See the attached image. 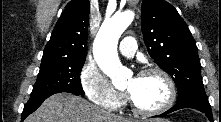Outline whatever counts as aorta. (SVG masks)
<instances>
[{"label": "aorta", "mask_w": 221, "mask_h": 122, "mask_svg": "<svg viewBox=\"0 0 221 122\" xmlns=\"http://www.w3.org/2000/svg\"><path fill=\"white\" fill-rule=\"evenodd\" d=\"M133 19L134 13L129 10L115 14L102 24L94 40V58L100 69L111 78L115 87L127 83L128 71L119 60L117 43Z\"/></svg>", "instance_id": "762f6f07"}]
</instances>
